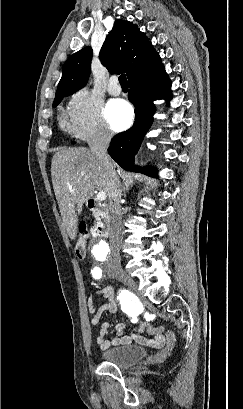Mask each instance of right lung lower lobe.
<instances>
[{
	"instance_id": "right-lung-lower-lobe-1",
	"label": "right lung lower lobe",
	"mask_w": 243,
	"mask_h": 409,
	"mask_svg": "<svg viewBox=\"0 0 243 409\" xmlns=\"http://www.w3.org/2000/svg\"><path fill=\"white\" fill-rule=\"evenodd\" d=\"M129 87L128 98L135 106V122L129 130L117 134L112 139L108 151L122 168L155 177L154 169L134 166V156L153 122L155 111L153 100L156 98L169 100L172 97L171 81L162 65L154 72L129 82Z\"/></svg>"
}]
</instances>
